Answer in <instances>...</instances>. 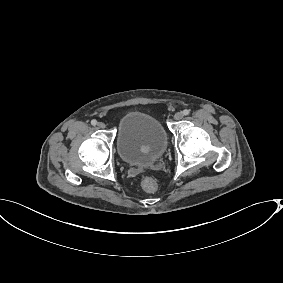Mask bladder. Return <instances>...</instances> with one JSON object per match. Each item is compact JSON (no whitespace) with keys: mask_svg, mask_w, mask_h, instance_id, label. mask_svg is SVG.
Here are the masks:
<instances>
[{"mask_svg":"<svg viewBox=\"0 0 283 283\" xmlns=\"http://www.w3.org/2000/svg\"><path fill=\"white\" fill-rule=\"evenodd\" d=\"M167 145V132L153 115L131 111L118 119L116 151L123 161L135 165L149 164L163 155Z\"/></svg>","mask_w":283,"mask_h":283,"instance_id":"obj_1","label":"bladder"}]
</instances>
